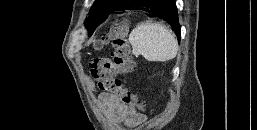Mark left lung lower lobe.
<instances>
[{
	"label": "left lung lower lobe",
	"mask_w": 257,
	"mask_h": 130,
	"mask_svg": "<svg viewBox=\"0 0 257 130\" xmlns=\"http://www.w3.org/2000/svg\"><path fill=\"white\" fill-rule=\"evenodd\" d=\"M143 10L149 17H158L172 25L180 41V25L178 22L177 8L174 0H128L122 7L115 11Z\"/></svg>",
	"instance_id": "1"
}]
</instances>
